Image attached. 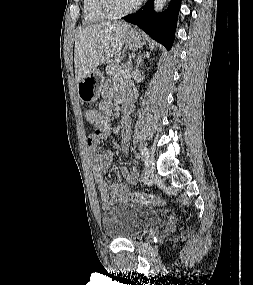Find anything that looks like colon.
Here are the masks:
<instances>
[{"mask_svg": "<svg viewBox=\"0 0 253 285\" xmlns=\"http://www.w3.org/2000/svg\"><path fill=\"white\" fill-rule=\"evenodd\" d=\"M85 117L89 123L95 122L96 110L94 109L87 110L85 113ZM129 199L134 203L143 204V205L162 206L165 204V200L162 197L148 193L131 192L129 194Z\"/></svg>", "mask_w": 253, "mask_h": 285, "instance_id": "colon-1", "label": "colon"}]
</instances>
